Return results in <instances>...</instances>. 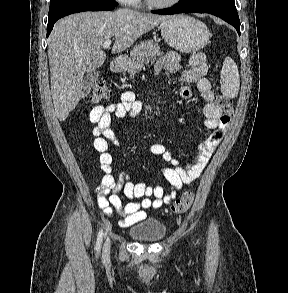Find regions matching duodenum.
<instances>
[{"label":"duodenum","instance_id":"410a0bca","mask_svg":"<svg viewBox=\"0 0 288 293\" xmlns=\"http://www.w3.org/2000/svg\"><path fill=\"white\" fill-rule=\"evenodd\" d=\"M125 66V61L123 58H115L111 63V70L114 73L121 72Z\"/></svg>","mask_w":288,"mask_h":293}]
</instances>
